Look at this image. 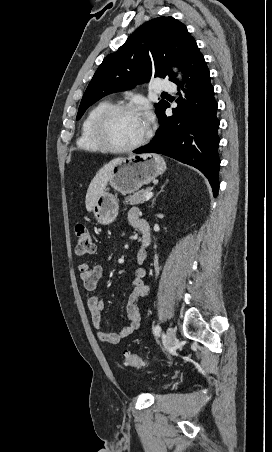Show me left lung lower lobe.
<instances>
[{
  "instance_id": "1",
  "label": "left lung lower lobe",
  "mask_w": 272,
  "mask_h": 452,
  "mask_svg": "<svg viewBox=\"0 0 272 452\" xmlns=\"http://www.w3.org/2000/svg\"><path fill=\"white\" fill-rule=\"evenodd\" d=\"M187 89L185 98H178L172 116H166V103L158 115L161 123L154 140L134 153H161L199 169L209 180L214 196L219 189L218 156L219 120L217 102L210 83V73L197 44L190 50L181 69ZM183 88L176 79L173 81Z\"/></svg>"
}]
</instances>
